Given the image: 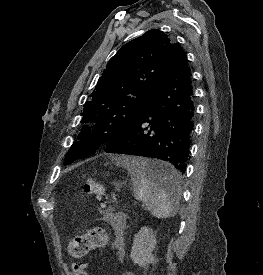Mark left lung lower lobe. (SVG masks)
Returning a JSON list of instances; mask_svg holds the SVG:
<instances>
[{
	"mask_svg": "<svg viewBox=\"0 0 263 275\" xmlns=\"http://www.w3.org/2000/svg\"><path fill=\"white\" fill-rule=\"evenodd\" d=\"M195 124V97L188 60L178 49L149 104L130 130L106 145L107 153L144 156L171 163L147 175L173 191L187 159Z\"/></svg>",
	"mask_w": 263,
	"mask_h": 275,
	"instance_id": "0a47b994",
	"label": "left lung lower lobe"
}]
</instances>
